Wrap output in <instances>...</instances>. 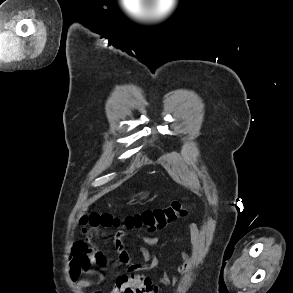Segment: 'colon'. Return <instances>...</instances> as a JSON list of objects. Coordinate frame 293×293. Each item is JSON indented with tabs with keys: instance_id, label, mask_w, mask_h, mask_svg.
Here are the masks:
<instances>
[{
	"instance_id": "5ec220e1",
	"label": "colon",
	"mask_w": 293,
	"mask_h": 293,
	"mask_svg": "<svg viewBox=\"0 0 293 293\" xmlns=\"http://www.w3.org/2000/svg\"><path fill=\"white\" fill-rule=\"evenodd\" d=\"M185 213V203L176 200L163 208L146 209L141 212L124 216L90 212L84 214L80 218V224L82 226V231L86 234L97 237H107L113 229L154 230L161 228L183 216Z\"/></svg>"
}]
</instances>
